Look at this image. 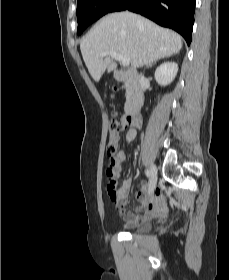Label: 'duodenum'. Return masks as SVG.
Returning <instances> with one entry per match:
<instances>
[{"label":"duodenum","mask_w":229,"mask_h":280,"mask_svg":"<svg viewBox=\"0 0 229 280\" xmlns=\"http://www.w3.org/2000/svg\"><path fill=\"white\" fill-rule=\"evenodd\" d=\"M117 81L127 80L130 83V95L125 105L127 121L129 123H139L138 112L145 101L143 86L139 80V76L134 71L118 70L114 73Z\"/></svg>","instance_id":"1"}]
</instances>
